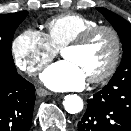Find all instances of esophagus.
<instances>
[{
    "mask_svg": "<svg viewBox=\"0 0 131 131\" xmlns=\"http://www.w3.org/2000/svg\"><path fill=\"white\" fill-rule=\"evenodd\" d=\"M36 93L40 97H45L51 94L48 90L41 87L36 90Z\"/></svg>",
    "mask_w": 131,
    "mask_h": 131,
    "instance_id": "esophagus-1",
    "label": "esophagus"
}]
</instances>
